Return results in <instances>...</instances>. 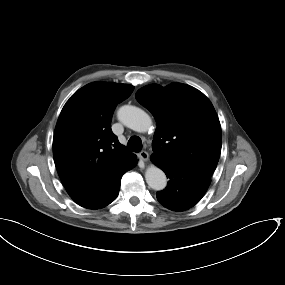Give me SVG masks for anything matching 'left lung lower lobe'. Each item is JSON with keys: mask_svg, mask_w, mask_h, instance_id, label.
I'll return each mask as SVG.
<instances>
[{"mask_svg": "<svg viewBox=\"0 0 285 285\" xmlns=\"http://www.w3.org/2000/svg\"><path fill=\"white\" fill-rule=\"evenodd\" d=\"M169 178L163 191L157 192L158 201L173 211H184L196 205L206 193L210 178L161 159H152Z\"/></svg>", "mask_w": 285, "mask_h": 285, "instance_id": "1", "label": "left lung lower lobe"}]
</instances>
